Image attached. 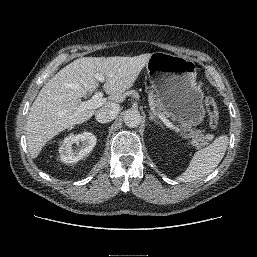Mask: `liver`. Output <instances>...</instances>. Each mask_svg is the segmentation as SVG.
I'll return each mask as SVG.
<instances>
[{
  "label": "liver",
  "mask_w": 257,
  "mask_h": 257,
  "mask_svg": "<svg viewBox=\"0 0 257 257\" xmlns=\"http://www.w3.org/2000/svg\"><path fill=\"white\" fill-rule=\"evenodd\" d=\"M150 56L82 57L61 69L40 90L28 115L26 139L32 158L58 133L94 115V109L78 112V108L81 98L99 87L96 73L105 77L103 88L110 95L101 108L121 103Z\"/></svg>",
  "instance_id": "6515ba94"
}]
</instances>
